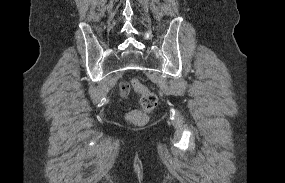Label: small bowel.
<instances>
[{"label": "small bowel", "mask_w": 285, "mask_h": 183, "mask_svg": "<svg viewBox=\"0 0 285 183\" xmlns=\"http://www.w3.org/2000/svg\"><path fill=\"white\" fill-rule=\"evenodd\" d=\"M119 89L121 91L122 96H125L128 93V84L126 82H120Z\"/></svg>", "instance_id": "c3829d8e"}]
</instances>
